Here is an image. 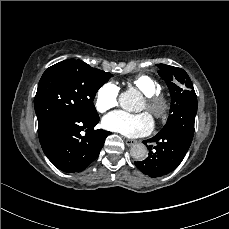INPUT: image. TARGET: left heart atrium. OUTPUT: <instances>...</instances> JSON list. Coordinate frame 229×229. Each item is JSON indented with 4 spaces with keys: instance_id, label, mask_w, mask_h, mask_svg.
I'll return each instance as SVG.
<instances>
[{
    "instance_id": "obj_1",
    "label": "left heart atrium",
    "mask_w": 229,
    "mask_h": 229,
    "mask_svg": "<svg viewBox=\"0 0 229 229\" xmlns=\"http://www.w3.org/2000/svg\"><path fill=\"white\" fill-rule=\"evenodd\" d=\"M102 125L107 130L135 138L149 134L154 122L152 116L146 112L129 114L124 111H115L103 118Z\"/></svg>"
}]
</instances>
